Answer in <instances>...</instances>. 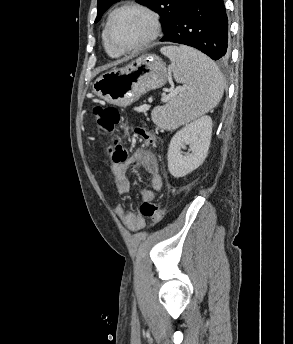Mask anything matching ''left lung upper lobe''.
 <instances>
[{
    "label": "left lung upper lobe",
    "mask_w": 293,
    "mask_h": 344,
    "mask_svg": "<svg viewBox=\"0 0 293 344\" xmlns=\"http://www.w3.org/2000/svg\"><path fill=\"white\" fill-rule=\"evenodd\" d=\"M120 0H98L97 17L95 22L99 21L103 13L113 4ZM156 11L161 16L162 29L164 35L170 30L179 13L184 0H135Z\"/></svg>",
    "instance_id": "left-lung-upper-lobe-1"
}]
</instances>
